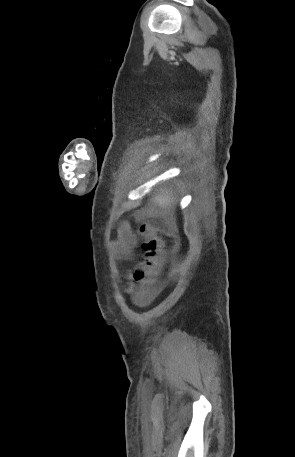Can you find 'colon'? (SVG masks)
I'll return each mask as SVG.
<instances>
[{
    "mask_svg": "<svg viewBox=\"0 0 295 457\" xmlns=\"http://www.w3.org/2000/svg\"><path fill=\"white\" fill-rule=\"evenodd\" d=\"M140 236L142 238L143 260L132 272V280L136 285H141L137 292L139 296L142 289L150 284V278L155 275L161 265L166 245L171 242L172 237L162 234L156 228L143 223L140 226Z\"/></svg>",
    "mask_w": 295,
    "mask_h": 457,
    "instance_id": "obj_1",
    "label": "colon"
}]
</instances>
